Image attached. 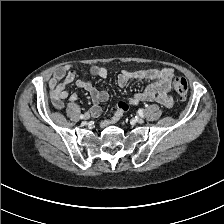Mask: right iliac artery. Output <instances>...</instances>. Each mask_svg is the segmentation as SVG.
Here are the masks:
<instances>
[{
    "label": "right iliac artery",
    "instance_id": "82829eb1",
    "mask_svg": "<svg viewBox=\"0 0 224 224\" xmlns=\"http://www.w3.org/2000/svg\"><path fill=\"white\" fill-rule=\"evenodd\" d=\"M84 117H85V115H83V114H82V115H80V118H81V119H84Z\"/></svg>",
    "mask_w": 224,
    "mask_h": 224
}]
</instances>
